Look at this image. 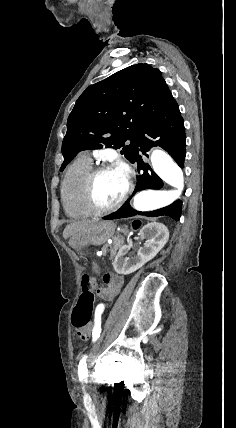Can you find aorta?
Here are the masks:
<instances>
[{
	"label": "aorta",
	"mask_w": 236,
	"mask_h": 428,
	"mask_svg": "<svg viewBox=\"0 0 236 428\" xmlns=\"http://www.w3.org/2000/svg\"><path fill=\"white\" fill-rule=\"evenodd\" d=\"M154 172L166 183L175 187L170 191L146 190L134 197L133 206L142 212H152L169 206L177 200L184 187L181 168L163 150H154L151 155Z\"/></svg>",
	"instance_id": "obj_1"
}]
</instances>
